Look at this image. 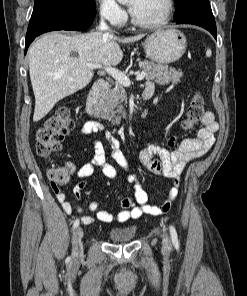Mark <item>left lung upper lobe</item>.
Returning a JSON list of instances; mask_svg holds the SVG:
<instances>
[{"label": "left lung upper lobe", "mask_w": 247, "mask_h": 296, "mask_svg": "<svg viewBox=\"0 0 247 296\" xmlns=\"http://www.w3.org/2000/svg\"><path fill=\"white\" fill-rule=\"evenodd\" d=\"M199 1H209V0H175L176 11L174 16H179L185 11L189 10L195 3Z\"/></svg>", "instance_id": "5c2ea615"}]
</instances>
